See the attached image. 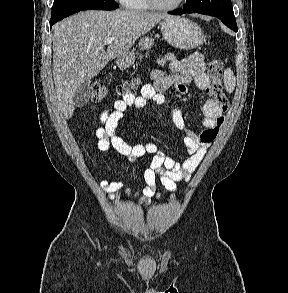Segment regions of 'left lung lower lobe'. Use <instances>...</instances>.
I'll use <instances>...</instances> for the list:
<instances>
[{
    "label": "left lung lower lobe",
    "instance_id": "obj_1",
    "mask_svg": "<svg viewBox=\"0 0 288 293\" xmlns=\"http://www.w3.org/2000/svg\"><path fill=\"white\" fill-rule=\"evenodd\" d=\"M184 13H200V14L215 16V17L219 18L227 27H229L233 31H235V32L238 31L235 17H228V16H225V15L217 13V12L200 11V10H194V9H189V8H185V7H183V9H177V10L169 12V14H172V15H181Z\"/></svg>",
    "mask_w": 288,
    "mask_h": 293
}]
</instances>
